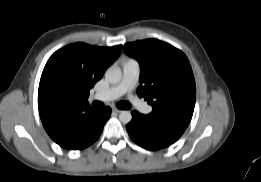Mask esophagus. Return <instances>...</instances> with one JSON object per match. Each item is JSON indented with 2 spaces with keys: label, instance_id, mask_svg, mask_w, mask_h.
<instances>
[{
  "label": "esophagus",
  "instance_id": "obj_1",
  "mask_svg": "<svg viewBox=\"0 0 261 182\" xmlns=\"http://www.w3.org/2000/svg\"><path fill=\"white\" fill-rule=\"evenodd\" d=\"M112 111H113L114 113H120V112H121V110H120V109H117V108H113Z\"/></svg>",
  "mask_w": 261,
  "mask_h": 182
}]
</instances>
